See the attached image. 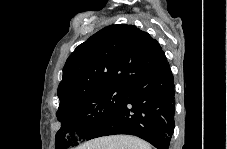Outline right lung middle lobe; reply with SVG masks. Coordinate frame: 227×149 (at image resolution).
<instances>
[{
	"instance_id": "dd1d6c3e",
	"label": "right lung middle lobe",
	"mask_w": 227,
	"mask_h": 149,
	"mask_svg": "<svg viewBox=\"0 0 227 149\" xmlns=\"http://www.w3.org/2000/svg\"><path fill=\"white\" fill-rule=\"evenodd\" d=\"M127 87L110 85L95 89L75 99L56 113L62 127L56 134V149H67L76 143L74 131L79 132L80 139H86L102 122L116 112L126 100ZM70 132V137L66 134ZM79 139V140H80Z\"/></svg>"
}]
</instances>
